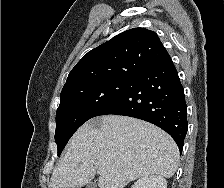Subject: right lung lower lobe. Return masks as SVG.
<instances>
[{
  "instance_id": "right-lung-lower-lobe-1",
  "label": "right lung lower lobe",
  "mask_w": 224,
  "mask_h": 188,
  "mask_svg": "<svg viewBox=\"0 0 224 188\" xmlns=\"http://www.w3.org/2000/svg\"><path fill=\"white\" fill-rule=\"evenodd\" d=\"M107 114L135 117L160 127L181 152L188 128L187 105L171 57L135 76L127 92L101 115Z\"/></svg>"
}]
</instances>
